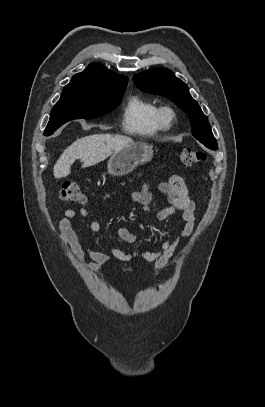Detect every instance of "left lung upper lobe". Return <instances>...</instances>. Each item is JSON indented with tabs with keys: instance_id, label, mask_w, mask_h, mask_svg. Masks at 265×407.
<instances>
[{
	"instance_id": "obj_1",
	"label": "left lung upper lobe",
	"mask_w": 265,
	"mask_h": 407,
	"mask_svg": "<svg viewBox=\"0 0 265 407\" xmlns=\"http://www.w3.org/2000/svg\"><path fill=\"white\" fill-rule=\"evenodd\" d=\"M134 84L144 92L164 96L189 115L193 136L206 147L216 150L208 118L198 103L191 97L187 85L176 78L171 70L153 69L139 73L133 78Z\"/></svg>"
}]
</instances>
